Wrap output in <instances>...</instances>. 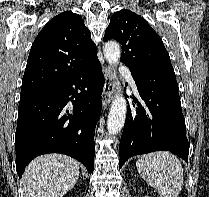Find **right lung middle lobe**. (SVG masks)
Wrapping results in <instances>:
<instances>
[{
    "label": "right lung middle lobe",
    "instance_id": "1",
    "mask_svg": "<svg viewBox=\"0 0 209 197\" xmlns=\"http://www.w3.org/2000/svg\"><path fill=\"white\" fill-rule=\"evenodd\" d=\"M28 93H30V92H21V95H25V94H28Z\"/></svg>",
    "mask_w": 209,
    "mask_h": 197
}]
</instances>
